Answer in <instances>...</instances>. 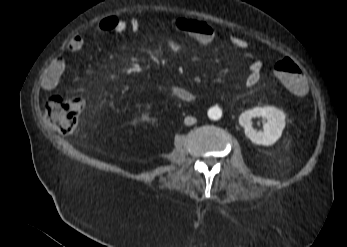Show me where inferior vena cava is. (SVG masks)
Listing matches in <instances>:
<instances>
[{"label":"inferior vena cava","instance_id":"1","mask_svg":"<svg viewBox=\"0 0 347 247\" xmlns=\"http://www.w3.org/2000/svg\"><path fill=\"white\" fill-rule=\"evenodd\" d=\"M197 122V119L195 117L192 116H187L184 119V123L188 126L193 125Z\"/></svg>","mask_w":347,"mask_h":247}]
</instances>
